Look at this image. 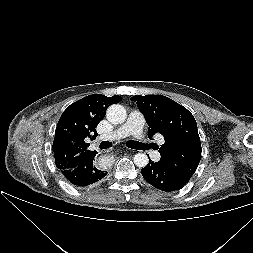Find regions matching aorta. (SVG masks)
Segmentation results:
<instances>
[{
    "mask_svg": "<svg viewBox=\"0 0 253 253\" xmlns=\"http://www.w3.org/2000/svg\"><path fill=\"white\" fill-rule=\"evenodd\" d=\"M106 117L109 122L113 124H121L125 122L127 118L126 109L120 104H112L107 109ZM148 157L144 153H137L134 156V164L137 167L144 168L148 164Z\"/></svg>",
    "mask_w": 253,
    "mask_h": 253,
    "instance_id": "obj_1",
    "label": "aorta"
}]
</instances>
